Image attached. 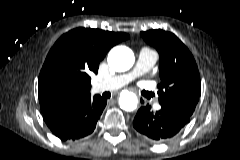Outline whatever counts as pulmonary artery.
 <instances>
[{
  "label": "pulmonary artery",
  "instance_id": "e3ab8cb5",
  "mask_svg": "<svg viewBox=\"0 0 240 160\" xmlns=\"http://www.w3.org/2000/svg\"><path fill=\"white\" fill-rule=\"evenodd\" d=\"M157 60L158 54L155 51L144 47L139 51L136 64L132 71L103 80L94 86V90L96 92L102 91L104 89L115 90L126 86L135 79L148 73L155 65ZM156 107L160 108L159 105Z\"/></svg>",
  "mask_w": 240,
  "mask_h": 160
}]
</instances>
